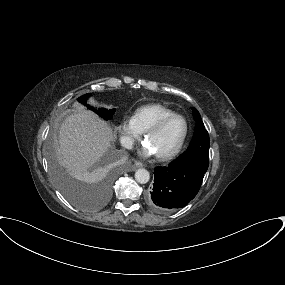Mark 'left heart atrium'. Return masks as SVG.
I'll return each instance as SVG.
<instances>
[{
    "mask_svg": "<svg viewBox=\"0 0 285 285\" xmlns=\"http://www.w3.org/2000/svg\"><path fill=\"white\" fill-rule=\"evenodd\" d=\"M141 154L143 156H150L155 154L152 150V148L149 146L148 143H145V145L143 146L142 150H141Z\"/></svg>",
    "mask_w": 285,
    "mask_h": 285,
    "instance_id": "obj_1",
    "label": "left heart atrium"
}]
</instances>
